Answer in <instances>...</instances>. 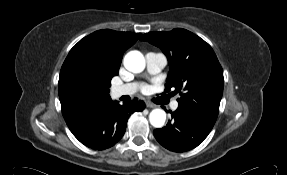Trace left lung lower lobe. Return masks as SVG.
Masks as SVG:
<instances>
[{
	"instance_id": "left-lung-lower-lobe-1",
	"label": "left lung lower lobe",
	"mask_w": 287,
	"mask_h": 175,
	"mask_svg": "<svg viewBox=\"0 0 287 175\" xmlns=\"http://www.w3.org/2000/svg\"><path fill=\"white\" fill-rule=\"evenodd\" d=\"M171 115L172 121L161 129H155L153 134L163 147L174 152L197 147L213 128L183 108L178 107Z\"/></svg>"
}]
</instances>
